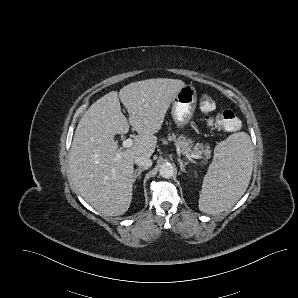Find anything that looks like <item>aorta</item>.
<instances>
[{
	"instance_id": "762f6f07",
	"label": "aorta",
	"mask_w": 298,
	"mask_h": 298,
	"mask_svg": "<svg viewBox=\"0 0 298 298\" xmlns=\"http://www.w3.org/2000/svg\"><path fill=\"white\" fill-rule=\"evenodd\" d=\"M175 173V168L171 163H164L159 168V175L163 178H171Z\"/></svg>"
}]
</instances>
